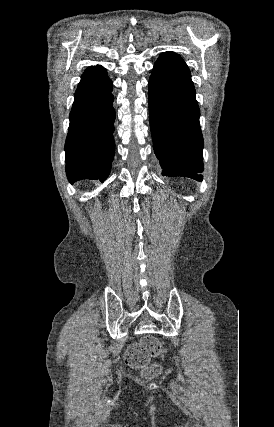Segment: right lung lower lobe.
<instances>
[{
  "instance_id": "right-lung-lower-lobe-1",
  "label": "right lung lower lobe",
  "mask_w": 274,
  "mask_h": 427,
  "mask_svg": "<svg viewBox=\"0 0 274 427\" xmlns=\"http://www.w3.org/2000/svg\"><path fill=\"white\" fill-rule=\"evenodd\" d=\"M112 81L101 66L86 69L75 92L65 144L66 174L71 183L104 181L114 157L115 110Z\"/></svg>"
}]
</instances>
